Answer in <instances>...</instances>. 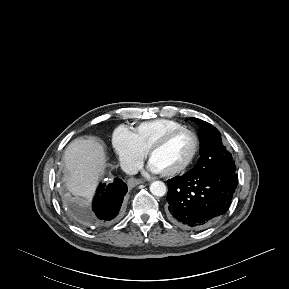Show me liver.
Masks as SVG:
<instances>
[{"label":"liver","mask_w":289,"mask_h":289,"mask_svg":"<svg viewBox=\"0 0 289 289\" xmlns=\"http://www.w3.org/2000/svg\"><path fill=\"white\" fill-rule=\"evenodd\" d=\"M64 161L68 173L64 181L68 190L91 200L105 168L103 146L93 139H77L66 148Z\"/></svg>","instance_id":"obj_1"}]
</instances>
